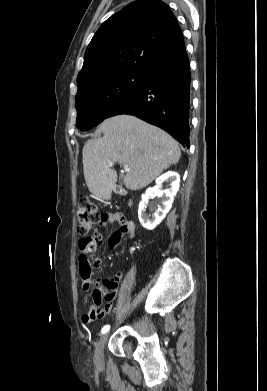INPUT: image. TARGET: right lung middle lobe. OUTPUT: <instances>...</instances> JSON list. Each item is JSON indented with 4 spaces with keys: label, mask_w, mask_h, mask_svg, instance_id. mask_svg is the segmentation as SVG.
<instances>
[{
    "label": "right lung middle lobe",
    "mask_w": 267,
    "mask_h": 391,
    "mask_svg": "<svg viewBox=\"0 0 267 391\" xmlns=\"http://www.w3.org/2000/svg\"><path fill=\"white\" fill-rule=\"evenodd\" d=\"M145 73L122 71L89 80L78 90L75 106L77 127L86 131L97 126L110 112L134 94L143 84Z\"/></svg>",
    "instance_id": "dd1d6c3e"
}]
</instances>
